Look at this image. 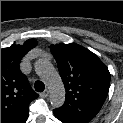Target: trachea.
I'll use <instances>...</instances> for the list:
<instances>
[{
	"label": "trachea",
	"instance_id": "trachea-1",
	"mask_svg": "<svg viewBox=\"0 0 123 123\" xmlns=\"http://www.w3.org/2000/svg\"><path fill=\"white\" fill-rule=\"evenodd\" d=\"M34 88L37 92H43L45 89V85L42 81H36L34 84Z\"/></svg>",
	"mask_w": 123,
	"mask_h": 123
}]
</instances>
